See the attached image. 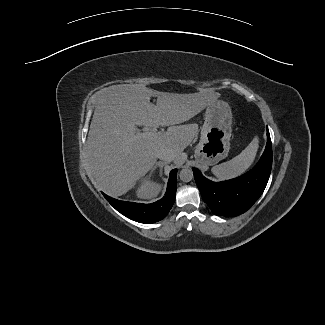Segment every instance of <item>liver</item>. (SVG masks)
I'll use <instances>...</instances> for the list:
<instances>
[{
	"label": "liver",
	"mask_w": 325,
	"mask_h": 325,
	"mask_svg": "<svg viewBox=\"0 0 325 325\" xmlns=\"http://www.w3.org/2000/svg\"><path fill=\"white\" fill-rule=\"evenodd\" d=\"M221 96L218 92L191 94L159 92L141 84H121L95 94V110L86 142L90 177L108 195L121 196L152 169L157 153L169 150L181 165L184 149L198 131L193 118ZM157 97V104L150 103ZM169 126L157 138L137 137V127Z\"/></svg>",
	"instance_id": "6515ba94"
}]
</instances>
